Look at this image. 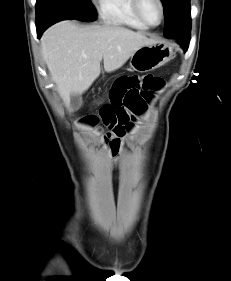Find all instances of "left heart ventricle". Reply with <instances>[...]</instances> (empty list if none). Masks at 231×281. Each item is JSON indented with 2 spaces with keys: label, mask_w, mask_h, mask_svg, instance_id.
<instances>
[{
  "label": "left heart ventricle",
  "mask_w": 231,
  "mask_h": 281,
  "mask_svg": "<svg viewBox=\"0 0 231 281\" xmlns=\"http://www.w3.org/2000/svg\"><path fill=\"white\" fill-rule=\"evenodd\" d=\"M142 10L147 20L157 24L161 18V10L156 0H142Z\"/></svg>",
  "instance_id": "1"
}]
</instances>
